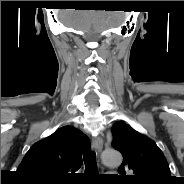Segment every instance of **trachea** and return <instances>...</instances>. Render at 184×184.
I'll return each mask as SVG.
<instances>
[{
  "label": "trachea",
  "mask_w": 184,
  "mask_h": 184,
  "mask_svg": "<svg viewBox=\"0 0 184 184\" xmlns=\"http://www.w3.org/2000/svg\"><path fill=\"white\" fill-rule=\"evenodd\" d=\"M85 171L89 174L97 173L96 154L90 152L84 156Z\"/></svg>",
  "instance_id": "3493384b"
}]
</instances>
